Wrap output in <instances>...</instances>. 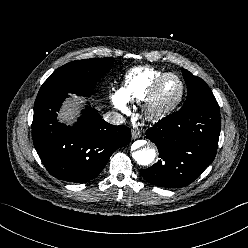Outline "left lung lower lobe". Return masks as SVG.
<instances>
[{
    "mask_svg": "<svg viewBox=\"0 0 248 248\" xmlns=\"http://www.w3.org/2000/svg\"><path fill=\"white\" fill-rule=\"evenodd\" d=\"M220 125L216 99L182 107L160 120L146 136L156 144L160 160L140 170L143 178L164 188L192 183L214 160Z\"/></svg>",
    "mask_w": 248,
    "mask_h": 248,
    "instance_id": "0a47b994",
    "label": "left lung lower lobe"
}]
</instances>
